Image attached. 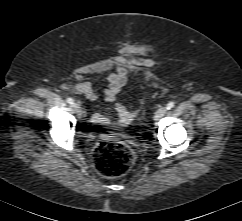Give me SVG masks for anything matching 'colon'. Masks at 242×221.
Segmentation results:
<instances>
[{"mask_svg":"<svg viewBox=\"0 0 242 221\" xmlns=\"http://www.w3.org/2000/svg\"><path fill=\"white\" fill-rule=\"evenodd\" d=\"M132 150L121 142H102L94 150V164L97 171L108 178L125 175L133 166Z\"/></svg>","mask_w":242,"mask_h":221,"instance_id":"5ec220e1","label":"colon"}]
</instances>
